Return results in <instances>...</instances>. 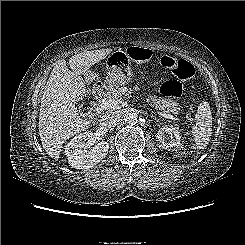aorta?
I'll list each match as a JSON object with an SVG mask.
<instances>
[{
  "label": "aorta",
  "mask_w": 245,
  "mask_h": 245,
  "mask_svg": "<svg viewBox=\"0 0 245 245\" xmlns=\"http://www.w3.org/2000/svg\"><path fill=\"white\" fill-rule=\"evenodd\" d=\"M124 120L129 125H135L138 122V115L135 112L126 113Z\"/></svg>",
  "instance_id": "obj_1"
}]
</instances>
